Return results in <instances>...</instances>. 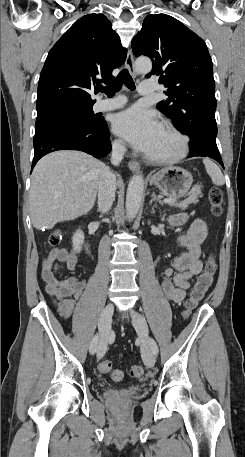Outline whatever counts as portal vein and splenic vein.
Here are the masks:
<instances>
[{
  "label": "portal vein and splenic vein",
  "mask_w": 245,
  "mask_h": 457,
  "mask_svg": "<svg viewBox=\"0 0 245 457\" xmlns=\"http://www.w3.org/2000/svg\"><path fill=\"white\" fill-rule=\"evenodd\" d=\"M164 202H176L175 198H164Z\"/></svg>",
  "instance_id": "18ae733b"
}]
</instances>
